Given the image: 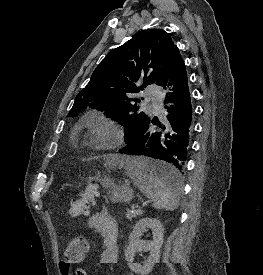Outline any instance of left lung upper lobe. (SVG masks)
Segmentation results:
<instances>
[{
  "mask_svg": "<svg viewBox=\"0 0 263 275\" xmlns=\"http://www.w3.org/2000/svg\"><path fill=\"white\" fill-rule=\"evenodd\" d=\"M176 51L177 46L162 29L137 32L97 66L89 84L77 94L68 116H77L87 107L105 111L125 127V141L130 140L149 119L137 105L141 100L131 93L152 82L159 84Z\"/></svg>",
  "mask_w": 263,
  "mask_h": 275,
  "instance_id": "left-lung-upper-lobe-1",
  "label": "left lung upper lobe"
}]
</instances>
